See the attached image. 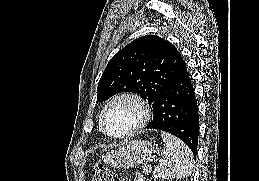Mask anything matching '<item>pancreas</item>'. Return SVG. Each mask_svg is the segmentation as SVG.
Returning a JSON list of instances; mask_svg holds the SVG:
<instances>
[{
    "label": "pancreas",
    "instance_id": "obj_1",
    "mask_svg": "<svg viewBox=\"0 0 259 181\" xmlns=\"http://www.w3.org/2000/svg\"><path fill=\"white\" fill-rule=\"evenodd\" d=\"M134 181H145L143 178V175L140 173H136L135 180Z\"/></svg>",
    "mask_w": 259,
    "mask_h": 181
}]
</instances>
